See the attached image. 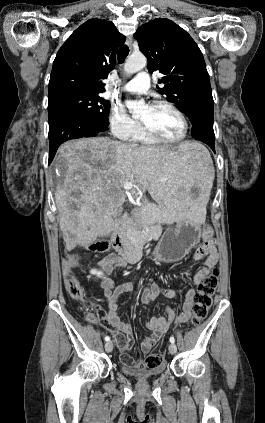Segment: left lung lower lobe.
Instances as JSON below:
<instances>
[{"mask_svg":"<svg viewBox=\"0 0 265 423\" xmlns=\"http://www.w3.org/2000/svg\"><path fill=\"white\" fill-rule=\"evenodd\" d=\"M213 109L214 102L212 94L202 95L194 103L189 119L192 123V137L204 142L215 152Z\"/></svg>","mask_w":265,"mask_h":423,"instance_id":"0a47b994","label":"left lung lower lobe"}]
</instances>
